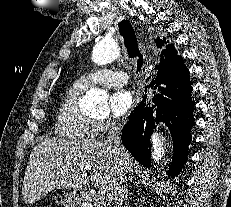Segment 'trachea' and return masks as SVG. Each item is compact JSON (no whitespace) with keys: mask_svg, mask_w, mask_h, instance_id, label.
<instances>
[{"mask_svg":"<svg viewBox=\"0 0 231 207\" xmlns=\"http://www.w3.org/2000/svg\"><path fill=\"white\" fill-rule=\"evenodd\" d=\"M119 32L124 39V44L129 58H137V72L141 70L143 65V55L138 48L137 37L132 25L127 20H122L118 23Z\"/></svg>","mask_w":231,"mask_h":207,"instance_id":"3493384b","label":"trachea"}]
</instances>
